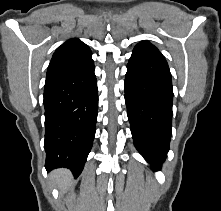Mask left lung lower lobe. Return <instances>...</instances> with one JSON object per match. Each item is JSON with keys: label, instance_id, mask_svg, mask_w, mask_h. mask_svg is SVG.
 I'll list each match as a JSON object with an SVG mask.
<instances>
[{"label": "left lung lower lobe", "instance_id": "obj_1", "mask_svg": "<svg viewBox=\"0 0 221 211\" xmlns=\"http://www.w3.org/2000/svg\"><path fill=\"white\" fill-rule=\"evenodd\" d=\"M125 102L134 145L160 170L171 139L173 89L165 58L133 51L125 77Z\"/></svg>", "mask_w": 221, "mask_h": 211}]
</instances>
